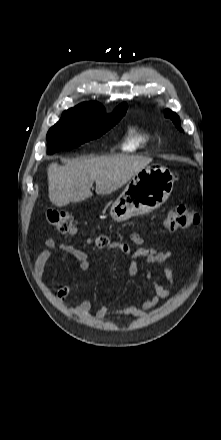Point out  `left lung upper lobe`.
I'll use <instances>...</instances> for the list:
<instances>
[{"mask_svg":"<svg viewBox=\"0 0 221 440\" xmlns=\"http://www.w3.org/2000/svg\"><path fill=\"white\" fill-rule=\"evenodd\" d=\"M164 115H165V117L172 119V121L176 125V127L180 128V120L175 112H172L171 110L166 109L164 111Z\"/></svg>","mask_w":221,"mask_h":440,"instance_id":"left-lung-upper-lobe-1","label":"left lung upper lobe"}]
</instances>
